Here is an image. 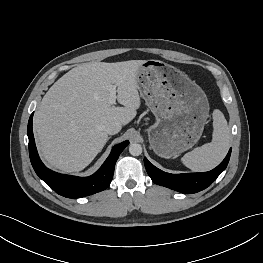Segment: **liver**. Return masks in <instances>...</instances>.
Segmentation results:
<instances>
[{
	"label": "liver",
	"instance_id": "1",
	"mask_svg": "<svg viewBox=\"0 0 263 263\" xmlns=\"http://www.w3.org/2000/svg\"><path fill=\"white\" fill-rule=\"evenodd\" d=\"M143 60L90 62L71 69L44 95L34 115L38 148L47 163L62 172L83 170L103 149L110 122L126 125L141 105L137 70ZM117 100L109 103V87Z\"/></svg>",
	"mask_w": 263,
	"mask_h": 263
}]
</instances>
